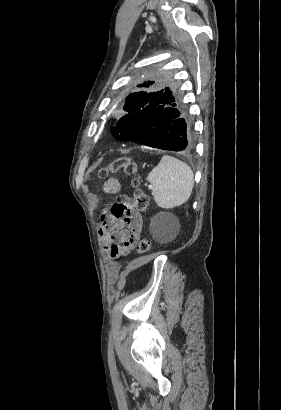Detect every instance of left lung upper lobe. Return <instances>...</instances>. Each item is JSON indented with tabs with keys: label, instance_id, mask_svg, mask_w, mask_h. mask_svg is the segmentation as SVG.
Here are the masks:
<instances>
[{
	"label": "left lung upper lobe",
	"instance_id": "left-lung-upper-lobe-1",
	"mask_svg": "<svg viewBox=\"0 0 281 410\" xmlns=\"http://www.w3.org/2000/svg\"><path fill=\"white\" fill-rule=\"evenodd\" d=\"M171 82L172 81L169 76L160 74L139 85V87L143 88V91L131 93L126 98L125 105L123 107L124 111L128 112L126 115L133 114L144 108L157 91L166 88ZM110 129L115 138L119 136V133L115 127H111Z\"/></svg>",
	"mask_w": 281,
	"mask_h": 410
}]
</instances>
